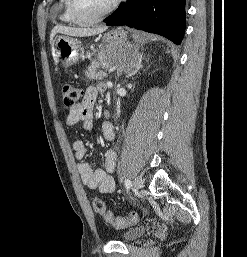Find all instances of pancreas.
I'll return each instance as SVG.
<instances>
[{"instance_id": "pancreas-1", "label": "pancreas", "mask_w": 247, "mask_h": 257, "mask_svg": "<svg viewBox=\"0 0 247 257\" xmlns=\"http://www.w3.org/2000/svg\"><path fill=\"white\" fill-rule=\"evenodd\" d=\"M110 67L112 66L103 61H93L86 70L85 75L89 79L103 80L108 76L105 70Z\"/></svg>"}]
</instances>
